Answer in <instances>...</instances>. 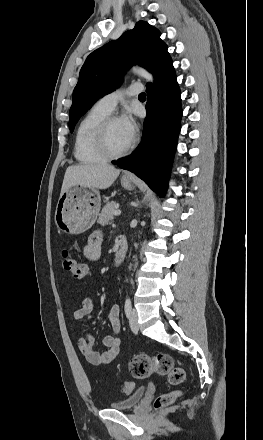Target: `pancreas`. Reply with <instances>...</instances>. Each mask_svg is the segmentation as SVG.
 I'll list each match as a JSON object with an SVG mask.
<instances>
[{
  "mask_svg": "<svg viewBox=\"0 0 263 440\" xmlns=\"http://www.w3.org/2000/svg\"><path fill=\"white\" fill-rule=\"evenodd\" d=\"M117 210V204L115 202H109L102 209L99 214L98 223L102 226L108 225L109 222L113 219L114 212Z\"/></svg>",
  "mask_w": 263,
  "mask_h": 440,
  "instance_id": "pancreas-1",
  "label": "pancreas"
}]
</instances>
